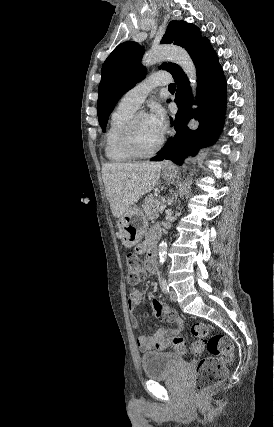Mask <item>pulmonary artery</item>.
Instances as JSON below:
<instances>
[{"instance_id":"obj_1","label":"pulmonary artery","mask_w":274,"mask_h":427,"mask_svg":"<svg viewBox=\"0 0 274 427\" xmlns=\"http://www.w3.org/2000/svg\"><path fill=\"white\" fill-rule=\"evenodd\" d=\"M169 82H171V79L165 76H161L159 78L157 73H153L138 83L134 88L129 90L122 97L120 105L133 110H138L154 88L165 85Z\"/></svg>"}]
</instances>
